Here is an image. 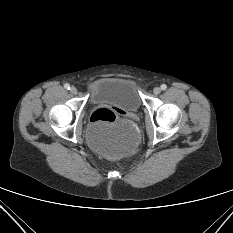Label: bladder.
I'll return each instance as SVG.
<instances>
[{
    "mask_svg": "<svg viewBox=\"0 0 233 233\" xmlns=\"http://www.w3.org/2000/svg\"><path fill=\"white\" fill-rule=\"evenodd\" d=\"M90 101L95 105H115L126 111H136L142 101L137 84L130 78L108 77L90 87ZM86 139L90 149L105 158L117 159L131 154L139 143V132L133 122L117 124L109 130L89 129Z\"/></svg>",
    "mask_w": 233,
    "mask_h": 233,
    "instance_id": "31cf9c89",
    "label": "bladder"
}]
</instances>
